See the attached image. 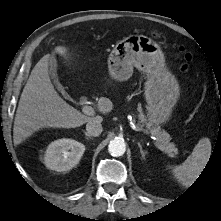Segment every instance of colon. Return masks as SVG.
Here are the masks:
<instances>
[{
	"instance_id": "1",
	"label": "colon",
	"mask_w": 221,
	"mask_h": 221,
	"mask_svg": "<svg viewBox=\"0 0 221 221\" xmlns=\"http://www.w3.org/2000/svg\"><path fill=\"white\" fill-rule=\"evenodd\" d=\"M185 58H186L187 61H190V60H191V56H190L189 54H186ZM187 69H188V64L186 63V64L184 65V67H183V70L185 71V70H187Z\"/></svg>"
}]
</instances>
